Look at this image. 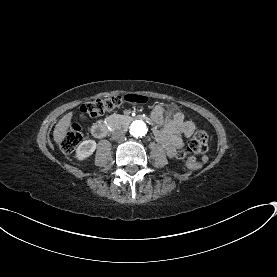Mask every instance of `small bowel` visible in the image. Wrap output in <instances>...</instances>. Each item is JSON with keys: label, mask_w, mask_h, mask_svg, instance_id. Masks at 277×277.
I'll use <instances>...</instances> for the list:
<instances>
[{"label": "small bowel", "mask_w": 277, "mask_h": 277, "mask_svg": "<svg viewBox=\"0 0 277 277\" xmlns=\"http://www.w3.org/2000/svg\"><path fill=\"white\" fill-rule=\"evenodd\" d=\"M167 110L171 111L169 119L165 117ZM152 118L157 125L154 130L156 140L163 145L170 157H175L183 146V138L193 134L195 124L186 120L181 112L162 105L154 108Z\"/></svg>", "instance_id": "1"}]
</instances>
